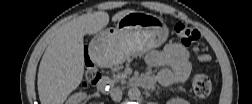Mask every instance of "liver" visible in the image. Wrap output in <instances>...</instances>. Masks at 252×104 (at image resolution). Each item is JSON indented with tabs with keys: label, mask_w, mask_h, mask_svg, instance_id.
Instances as JSON below:
<instances>
[{
	"label": "liver",
	"mask_w": 252,
	"mask_h": 104,
	"mask_svg": "<svg viewBox=\"0 0 252 104\" xmlns=\"http://www.w3.org/2000/svg\"><path fill=\"white\" fill-rule=\"evenodd\" d=\"M134 10L112 17L116 22ZM109 23L106 12L79 16L61 26L41 59L37 86L42 104H62L81 83L84 74V35H94Z\"/></svg>",
	"instance_id": "1"
}]
</instances>
